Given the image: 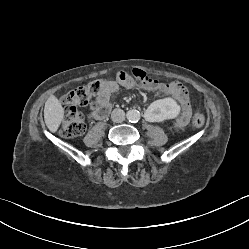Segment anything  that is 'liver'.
I'll list each match as a JSON object with an SVG mask.
<instances>
[{
  "instance_id": "1",
  "label": "liver",
  "mask_w": 249,
  "mask_h": 249,
  "mask_svg": "<svg viewBox=\"0 0 249 249\" xmlns=\"http://www.w3.org/2000/svg\"><path fill=\"white\" fill-rule=\"evenodd\" d=\"M64 118V108L60 101L51 95L44 107V120L50 132L55 133Z\"/></svg>"
}]
</instances>
